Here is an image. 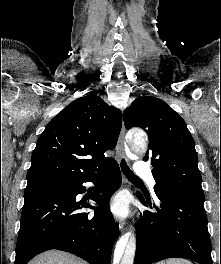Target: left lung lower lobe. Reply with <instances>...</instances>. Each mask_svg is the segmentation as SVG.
Wrapping results in <instances>:
<instances>
[{
	"mask_svg": "<svg viewBox=\"0 0 221 264\" xmlns=\"http://www.w3.org/2000/svg\"><path fill=\"white\" fill-rule=\"evenodd\" d=\"M161 204L136 193L143 205L155 208L141 213L135 228L137 247L134 264H151L173 257L212 264L211 241L204 210V199L169 192H155Z\"/></svg>",
	"mask_w": 221,
	"mask_h": 264,
	"instance_id": "1",
	"label": "left lung lower lobe"
}]
</instances>
